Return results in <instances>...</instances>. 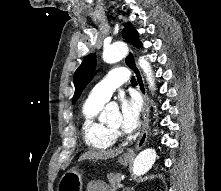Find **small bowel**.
Returning <instances> with one entry per match:
<instances>
[{
	"label": "small bowel",
	"instance_id": "1",
	"mask_svg": "<svg viewBox=\"0 0 221 191\" xmlns=\"http://www.w3.org/2000/svg\"><path fill=\"white\" fill-rule=\"evenodd\" d=\"M87 191H113L104 181L92 179L87 183Z\"/></svg>",
	"mask_w": 221,
	"mask_h": 191
}]
</instances>
